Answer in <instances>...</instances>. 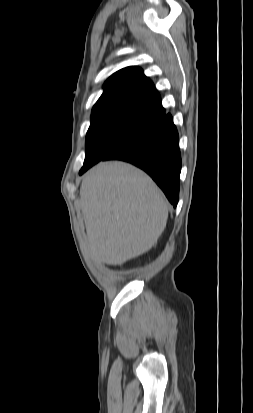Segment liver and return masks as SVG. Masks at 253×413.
<instances>
[{
  "instance_id": "liver-1",
  "label": "liver",
  "mask_w": 253,
  "mask_h": 413,
  "mask_svg": "<svg viewBox=\"0 0 253 413\" xmlns=\"http://www.w3.org/2000/svg\"><path fill=\"white\" fill-rule=\"evenodd\" d=\"M88 252L95 263L122 265L149 251L163 233L168 202L153 180L131 164L101 162L80 187Z\"/></svg>"
}]
</instances>
